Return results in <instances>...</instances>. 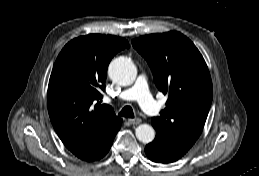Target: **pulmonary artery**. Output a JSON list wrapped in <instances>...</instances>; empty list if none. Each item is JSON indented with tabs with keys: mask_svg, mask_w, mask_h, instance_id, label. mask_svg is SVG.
<instances>
[{
	"mask_svg": "<svg viewBox=\"0 0 259 176\" xmlns=\"http://www.w3.org/2000/svg\"><path fill=\"white\" fill-rule=\"evenodd\" d=\"M119 100H137L142 109L150 115H154L158 110L156 102L149 93L147 80L144 75H140L132 87L122 91L119 95Z\"/></svg>",
	"mask_w": 259,
	"mask_h": 176,
	"instance_id": "obj_1",
	"label": "pulmonary artery"
}]
</instances>
